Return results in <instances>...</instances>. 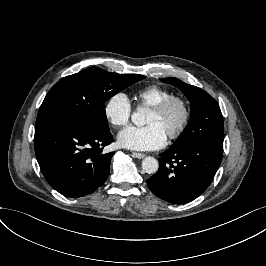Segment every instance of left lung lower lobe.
Returning <instances> with one entry per match:
<instances>
[{
	"instance_id": "1",
	"label": "left lung lower lobe",
	"mask_w": 266,
	"mask_h": 266,
	"mask_svg": "<svg viewBox=\"0 0 266 266\" xmlns=\"http://www.w3.org/2000/svg\"><path fill=\"white\" fill-rule=\"evenodd\" d=\"M223 142L199 140L183 148L160 153L159 170L147 180L157 197L185 204L200 196L211 184L220 166Z\"/></svg>"
}]
</instances>
